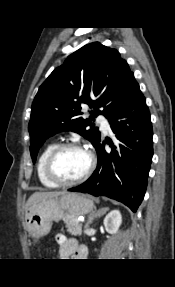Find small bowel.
I'll list each match as a JSON object with an SVG mask.
<instances>
[{
  "label": "small bowel",
  "instance_id": "1",
  "mask_svg": "<svg viewBox=\"0 0 175 287\" xmlns=\"http://www.w3.org/2000/svg\"><path fill=\"white\" fill-rule=\"evenodd\" d=\"M55 242L59 246L58 254L61 259H69L71 257L82 259L87 255L85 247L80 246L73 238H67L63 234H57L55 236Z\"/></svg>",
  "mask_w": 175,
  "mask_h": 287
}]
</instances>
